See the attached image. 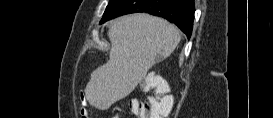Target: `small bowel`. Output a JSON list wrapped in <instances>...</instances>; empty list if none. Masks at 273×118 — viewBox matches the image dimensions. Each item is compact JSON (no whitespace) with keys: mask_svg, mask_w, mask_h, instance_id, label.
<instances>
[{"mask_svg":"<svg viewBox=\"0 0 273 118\" xmlns=\"http://www.w3.org/2000/svg\"><path fill=\"white\" fill-rule=\"evenodd\" d=\"M81 101H82V102L85 101V98H84L83 96H81ZM81 115L87 117V112H86V110L82 109V110H81Z\"/></svg>","mask_w":273,"mask_h":118,"instance_id":"c3829d8e","label":"small bowel"}]
</instances>
